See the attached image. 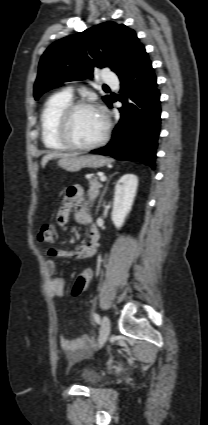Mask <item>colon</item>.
Here are the masks:
<instances>
[{
  "instance_id": "5ec220e1",
  "label": "colon",
  "mask_w": 208,
  "mask_h": 425,
  "mask_svg": "<svg viewBox=\"0 0 208 425\" xmlns=\"http://www.w3.org/2000/svg\"><path fill=\"white\" fill-rule=\"evenodd\" d=\"M39 240L48 245H52L57 240V231L54 225L52 224H44L39 233ZM95 284V272L93 270H89L85 273H82L76 279L72 294L74 296L81 295L87 288L93 286Z\"/></svg>"
}]
</instances>
